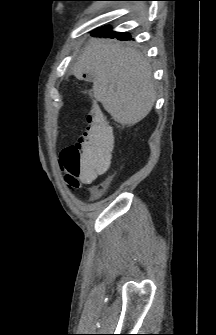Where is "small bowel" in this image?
<instances>
[{
  "instance_id": "1",
  "label": "small bowel",
  "mask_w": 216,
  "mask_h": 335,
  "mask_svg": "<svg viewBox=\"0 0 216 335\" xmlns=\"http://www.w3.org/2000/svg\"><path fill=\"white\" fill-rule=\"evenodd\" d=\"M94 106H95V105H94ZM94 106H93V107H94ZM93 107H92V108H93ZM102 173H104V172H102ZM94 179H95V178H79V180H80L79 185H76V186H74V187H81V186L84 185V184H88V183L92 182Z\"/></svg>"
}]
</instances>
